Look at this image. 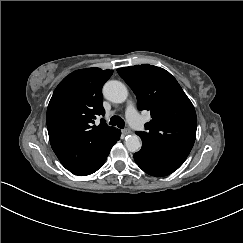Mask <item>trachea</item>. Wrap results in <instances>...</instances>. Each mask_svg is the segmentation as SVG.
<instances>
[{
  "label": "trachea",
  "mask_w": 243,
  "mask_h": 243,
  "mask_svg": "<svg viewBox=\"0 0 243 243\" xmlns=\"http://www.w3.org/2000/svg\"><path fill=\"white\" fill-rule=\"evenodd\" d=\"M110 125H117L119 128L123 129L125 122L122 118H120L119 116H112L110 121H109Z\"/></svg>",
  "instance_id": "trachea-1"
}]
</instances>
